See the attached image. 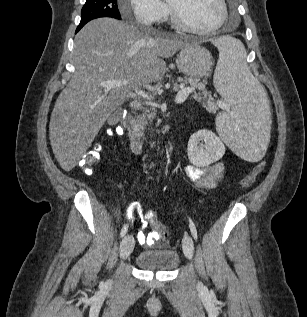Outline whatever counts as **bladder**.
<instances>
[{"instance_id":"31cf9c89","label":"bladder","mask_w":307,"mask_h":317,"mask_svg":"<svg viewBox=\"0 0 307 317\" xmlns=\"http://www.w3.org/2000/svg\"><path fill=\"white\" fill-rule=\"evenodd\" d=\"M179 262L178 252L171 249L143 251L135 258L136 266L146 271L168 272L175 269Z\"/></svg>"}]
</instances>
